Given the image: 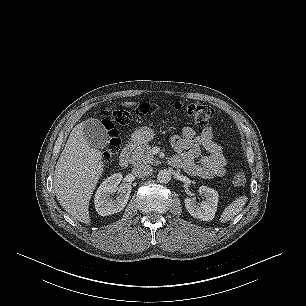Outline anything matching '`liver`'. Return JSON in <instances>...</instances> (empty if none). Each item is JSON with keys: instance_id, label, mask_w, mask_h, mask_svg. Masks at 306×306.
Returning a JSON list of instances; mask_svg holds the SVG:
<instances>
[{"instance_id": "6515ba94", "label": "liver", "mask_w": 306, "mask_h": 306, "mask_svg": "<svg viewBox=\"0 0 306 306\" xmlns=\"http://www.w3.org/2000/svg\"><path fill=\"white\" fill-rule=\"evenodd\" d=\"M118 105L131 107L134 102ZM102 153L91 147L83 134V122L76 125L55 167L54 192L62 208L74 219L90 223L89 202L104 171Z\"/></svg>"}]
</instances>
